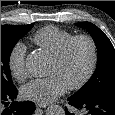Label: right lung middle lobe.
<instances>
[{
    "label": "right lung middle lobe",
    "mask_w": 115,
    "mask_h": 115,
    "mask_svg": "<svg viewBox=\"0 0 115 115\" xmlns=\"http://www.w3.org/2000/svg\"><path fill=\"white\" fill-rule=\"evenodd\" d=\"M29 25H2L1 26V92L8 91L15 86L12 82L9 68V59L13 47L32 27Z\"/></svg>",
    "instance_id": "obj_1"
}]
</instances>
